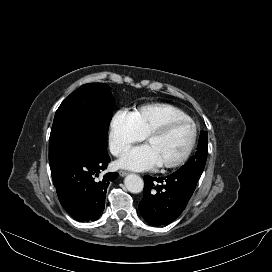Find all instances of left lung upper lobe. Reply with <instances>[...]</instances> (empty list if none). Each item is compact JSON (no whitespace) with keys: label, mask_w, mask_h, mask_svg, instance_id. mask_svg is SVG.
<instances>
[{"label":"left lung upper lobe","mask_w":272,"mask_h":272,"mask_svg":"<svg viewBox=\"0 0 272 272\" xmlns=\"http://www.w3.org/2000/svg\"><path fill=\"white\" fill-rule=\"evenodd\" d=\"M207 137L208 133L206 131H201L196 154L191 157L188 162L179 169V171L194 170L201 173L203 172L208 153Z\"/></svg>","instance_id":"5c2ea615"}]
</instances>
